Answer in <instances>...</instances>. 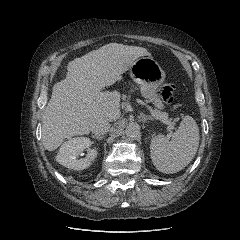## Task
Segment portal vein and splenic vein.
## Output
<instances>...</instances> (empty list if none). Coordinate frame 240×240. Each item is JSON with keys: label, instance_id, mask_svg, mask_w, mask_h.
<instances>
[{"label": "portal vein and splenic vein", "instance_id": "obj_1", "mask_svg": "<svg viewBox=\"0 0 240 240\" xmlns=\"http://www.w3.org/2000/svg\"><path fill=\"white\" fill-rule=\"evenodd\" d=\"M163 123L168 125V129L171 130L173 128L170 121L166 120L165 118L160 119Z\"/></svg>", "mask_w": 240, "mask_h": 240}]
</instances>
